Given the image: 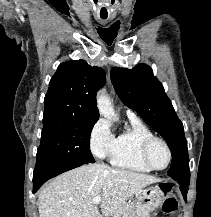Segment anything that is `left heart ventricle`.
<instances>
[{"instance_id":"b2bd125f","label":"left heart ventricle","mask_w":211,"mask_h":217,"mask_svg":"<svg viewBox=\"0 0 211 217\" xmlns=\"http://www.w3.org/2000/svg\"><path fill=\"white\" fill-rule=\"evenodd\" d=\"M149 156L152 164L158 168L164 167L168 162V152L165 146L160 142L153 144Z\"/></svg>"}]
</instances>
